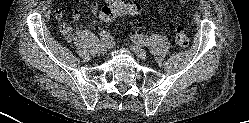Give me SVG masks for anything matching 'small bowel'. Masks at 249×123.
Segmentation results:
<instances>
[{
    "mask_svg": "<svg viewBox=\"0 0 249 123\" xmlns=\"http://www.w3.org/2000/svg\"><path fill=\"white\" fill-rule=\"evenodd\" d=\"M105 3L111 4V3H123V2L116 1V0H105ZM90 10H91L92 14H94V15H97L100 12V9H99V6H98L97 3H92L91 6H90ZM54 16H55V19L60 22L59 23V28H60L61 32L65 36H69L70 33H71V28L63 21V16H64L63 12L60 11V10L56 11ZM80 18H81L80 11L79 10H74L72 12V19L74 21H79Z\"/></svg>",
    "mask_w": 249,
    "mask_h": 123,
    "instance_id": "small-bowel-1",
    "label": "small bowel"
}]
</instances>
